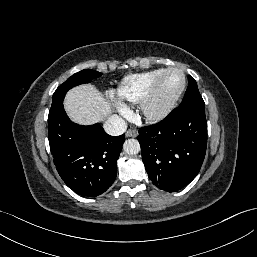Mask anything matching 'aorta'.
Returning <instances> with one entry per match:
<instances>
[{"instance_id":"1","label":"aorta","mask_w":257,"mask_h":257,"mask_svg":"<svg viewBox=\"0 0 257 257\" xmlns=\"http://www.w3.org/2000/svg\"><path fill=\"white\" fill-rule=\"evenodd\" d=\"M123 150L126 154L136 155L140 152V144L136 139H128L124 142Z\"/></svg>"}]
</instances>
